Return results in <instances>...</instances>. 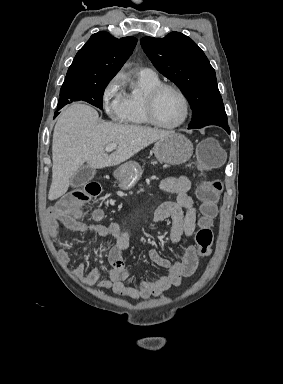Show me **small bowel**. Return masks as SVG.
<instances>
[{"label":"small bowel","instance_id":"small-bowel-1","mask_svg":"<svg viewBox=\"0 0 283 384\" xmlns=\"http://www.w3.org/2000/svg\"><path fill=\"white\" fill-rule=\"evenodd\" d=\"M161 189L166 193L176 194V201L162 203L154 212L152 223L172 219L170 242L182 245V258L177 261L168 260L160 255L156 249L149 252L152 262L166 270V273L155 280H143L137 287L126 284L130 273L124 261V253L129 248L130 234L122 231L118 224L109 223H83L73 218L69 213L60 211L52 206L47 212V227L51 238L57 241L58 231L61 227L71 231L89 233L99 237L115 239L108 260L110 271L106 279L101 280V269L92 268L85 273L84 262H80L74 270L75 276L87 285H95L99 289L111 290L113 293L136 300H144L152 296H159L172 286H179L182 279L190 277L197 269L199 263L197 248L192 245L189 238L196 228V210L191 195L192 183L187 176H168L160 183ZM63 264L70 261L69 252L62 248L58 252Z\"/></svg>","mask_w":283,"mask_h":384}]
</instances>
